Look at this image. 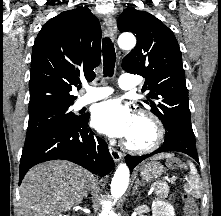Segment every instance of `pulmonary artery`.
<instances>
[{
	"instance_id": "e3ab8cb5",
	"label": "pulmonary artery",
	"mask_w": 221,
	"mask_h": 216,
	"mask_svg": "<svg viewBox=\"0 0 221 216\" xmlns=\"http://www.w3.org/2000/svg\"><path fill=\"white\" fill-rule=\"evenodd\" d=\"M118 85L121 89L129 90L136 87V81L129 75L123 74L118 79ZM85 94L79 97L75 103L76 108H82L92 102L108 97L113 93V89L108 86L85 87Z\"/></svg>"
}]
</instances>
